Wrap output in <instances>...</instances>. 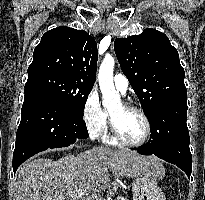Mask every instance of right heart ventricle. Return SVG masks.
Listing matches in <instances>:
<instances>
[{
    "mask_svg": "<svg viewBox=\"0 0 205 200\" xmlns=\"http://www.w3.org/2000/svg\"><path fill=\"white\" fill-rule=\"evenodd\" d=\"M102 139L104 141V143L108 144V145H115L117 142L115 141V139L112 137L111 134L105 132L102 136Z\"/></svg>",
    "mask_w": 205,
    "mask_h": 200,
    "instance_id": "obj_1",
    "label": "right heart ventricle"
}]
</instances>
